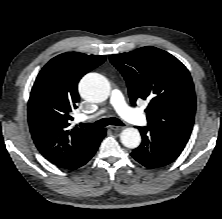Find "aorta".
Wrapping results in <instances>:
<instances>
[{"label": "aorta", "mask_w": 222, "mask_h": 219, "mask_svg": "<svg viewBox=\"0 0 222 219\" xmlns=\"http://www.w3.org/2000/svg\"><path fill=\"white\" fill-rule=\"evenodd\" d=\"M79 92L89 102H103L110 94V83L98 73H88L79 83ZM120 140L125 147L134 149L140 145L141 136L137 129L126 128L121 132Z\"/></svg>", "instance_id": "obj_1"}]
</instances>
